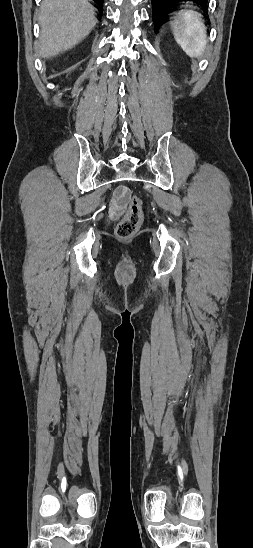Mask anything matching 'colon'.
<instances>
[{
    "instance_id": "obj_1",
    "label": "colon",
    "mask_w": 253,
    "mask_h": 548,
    "mask_svg": "<svg viewBox=\"0 0 253 548\" xmlns=\"http://www.w3.org/2000/svg\"><path fill=\"white\" fill-rule=\"evenodd\" d=\"M142 217V200L138 196H133L130 199L126 215L116 226L117 237L123 240L131 238L139 228Z\"/></svg>"
}]
</instances>
